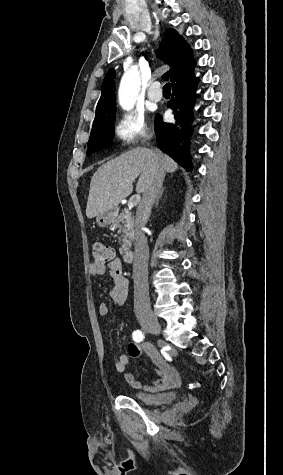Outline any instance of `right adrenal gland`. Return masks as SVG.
Wrapping results in <instances>:
<instances>
[{"mask_svg": "<svg viewBox=\"0 0 283 475\" xmlns=\"http://www.w3.org/2000/svg\"><path fill=\"white\" fill-rule=\"evenodd\" d=\"M163 192H164V188H162V190H161V192H160V194H159V196H158V198H157V200H156V206H158V202H159V200H160V198H161Z\"/></svg>", "mask_w": 283, "mask_h": 475, "instance_id": "obj_1", "label": "right adrenal gland"}]
</instances>
